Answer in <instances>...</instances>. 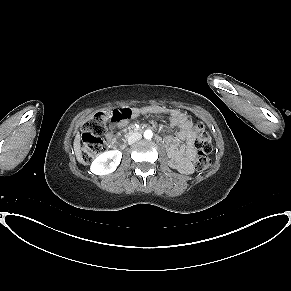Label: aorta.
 Here are the masks:
<instances>
[{"instance_id": "aorta-1", "label": "aorta", "mask_w": 291, "mask_h": 291, "mask_svg": "<svg viewBox=\"0 0 291 291\" xmlns=\"http://www.w3.org/2000/svg\"><path fill=\"white\" fill-rule=\"evenodd\" d=\"M152 136H153V132H152V130H146V131L144 132V138H145V139H151Z\"/></svg>"}]
</instances>
